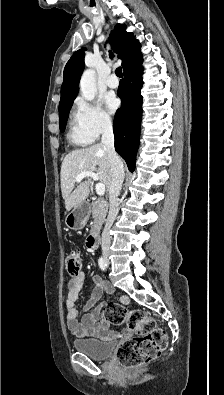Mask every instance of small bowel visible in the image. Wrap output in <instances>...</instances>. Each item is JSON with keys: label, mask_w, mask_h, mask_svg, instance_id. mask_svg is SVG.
Instances as JSON below:
<instances>
[{"label": "small bowel", "mask_w": 224, "mask_h": 395, "mask_svg": "<svg viewBox=\"0 0 224 395\" xmlns=\"http://www.w3.org/2000/svg\"><path fill=\"white\" fill-rule=\"evenodd\" d=\"M86 279L85 272L81 271L74 275L68 281V295L64 304L66 313V324L68 330L80 338H106L110 337L108 326L109 323L103 315V305L100 304L93 308L101 299L105 291H112L113 287L105 282L101 277L94 276L92 282L94 289L90 298L84 305V314L79 321V312L75 307V302L83 287ZM122 302H128L126 296L121 297ZM93 308V309H92Z\"/></svg>", "instance_id": "c3829d8e"}]
</instances>
